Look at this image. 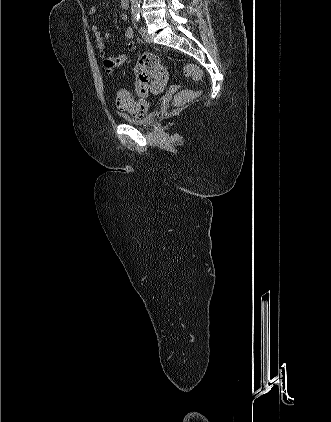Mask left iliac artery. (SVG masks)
Instances as JSON below:
<instances>
[{
	"instance_id": "obj_1",
	"label": "left iliac artery",
	"mask_w": 331,
	"mask_h": 422,
	"mask_svg": "<svg viewBox=\"0 0 331 422\" xmlns=\"http://www.w3.org/2000/svg\"><path fill=\"white\" fill-rule=\"evenodd\" d=\"M133 16H134L135 21L136 22H139V20H140V13H139V11H134L133 12Z\"/></svg>"
}]
</instances>
